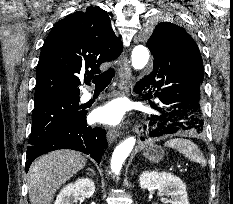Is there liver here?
I'll list each match as a JSON object with an SVG mask.
<instances>
[{
	"instance_id": "liver-1",
	"label": "liver",
	"mask_w": 233,
	"mask_h": 204,
	"mask_svg": "<svg viewBox=\"0 0 233 204\" xmlns=\"http://www.w3.org/2000/svg\"><path fill=\"white\" fill-rule=\"evenodd\" d=\"M86 163L81 153L57 150L36 159L28 172L31 204H51L56 191Z\"/></svg>"
}]
</instances>
